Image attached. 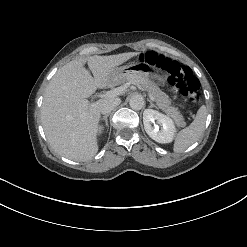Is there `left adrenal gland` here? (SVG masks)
I'll return each instance as SVG.
<instances>
[{
	"mask_svg": "<svg viewBox=\"0 0 247 247\" xmlns=\"http://www.w3.org/2000/svg\"><path fill=\"white\" fill-rule=\"evenodd\" d=\"M150 102V107H155L157 108V106L151 101V100H148Z\"/></svg>",
	"mask_w": 247,
	"mask_h": 247,
	"instance_id": "left-adrenal-gland-1",
	"label": "left adrenal gland"
}]
</instances>
